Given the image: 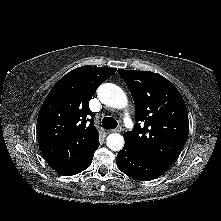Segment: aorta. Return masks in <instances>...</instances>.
Instances as JSON below:
<instances>
[{"instance_id":"762f6f07","label":"aorta","mask_w":221,"mask_h":221,"mask_svg":"<svg viewBox=\"0 0 221 221\" xmlns=\"http://www.w3.org/2000/svg\"><path fill=\"white\" fill-rule=\"evenodd\" d=\"M97 95L100 101L109 107L122 109L128 104L125 92L112 83L102 84L97 90ZM106 145L112 151H120L124 146V137L119 133L109 134Z\"/></svg>"}]
</instances>
